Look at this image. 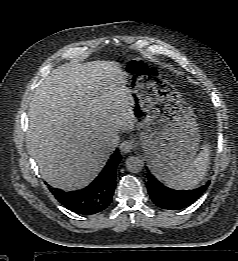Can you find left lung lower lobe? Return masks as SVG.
<instances>
[{
    "label": "left lung lower lobe",
    "mask_w": 238,
    "mask_h": 261,
    "mask_svg": "<svg viewBox=\"0 0 238 261\" xmlns=\"http://www.w3.org/2000/svg\"><path fill=\"white\" fill-rule=\"evenodd\" d=\"M206 185L189 191H177L164 186L154 176L150 175L147 182V190L153 203L167 210H180L194 203L206 190Z\"/></svg>",
    "instance_id": "1"
}]
</instances>
